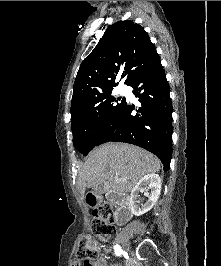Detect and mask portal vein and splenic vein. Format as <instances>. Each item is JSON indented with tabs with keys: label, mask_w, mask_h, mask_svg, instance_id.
Instances as JSON below:
<instances>
[{
	"label": "portal vein and splenic vein",
	"mask_w": 221,
	"mask_h": 266,
	"mask_svg": "<svg viewBox=\"0 0 221 266\" xmlns=\"http://www.w3.org/2000/svg\"><path fill=\"white\" fill-rule=\"evenodd\" d=\"M117 181H123V179L122 178H120V177H118L117 175H115V177H114Z\"/></svg>",
	"instance_id": "1"
}]
</instances>
